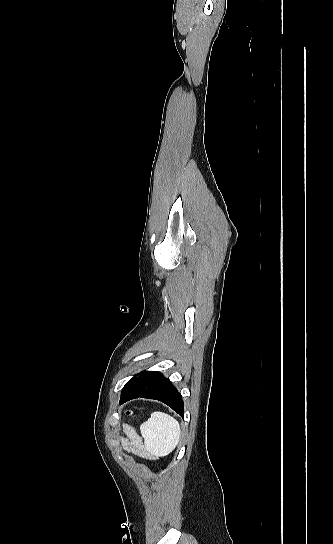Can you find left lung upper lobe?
Segmentation results:
<instances>
[{"instance_id":"left-lung-upper-lobe-1","label":"left lung upper lobe","mask_w":333,"mask_h":544,"mask_svg":"<svg viewBox=\"0 0 333 544\" xmlns=\"http://www.w3.org/2000/svg\"><path fill=\"white\" fill-rule=\"evenodd\" d=\"M132 379H133V378H132ZM132 379H131L130 381H128V382L126 383V385H128V384L132 381ZM126 385H125V386H126Z\"/></svg>"}]
</instances>
